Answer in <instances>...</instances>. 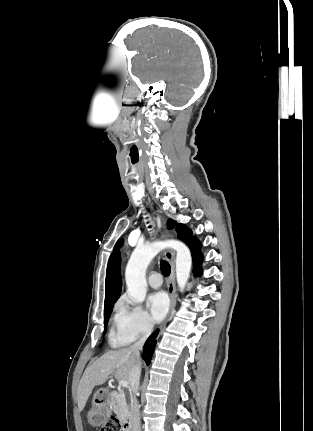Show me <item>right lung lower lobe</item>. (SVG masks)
I'll return each instance as SVG.
<instances>
[{
    "instance_id": "right-lung-lower-lobe-1",
    "label": "right lung lower lobe",
    "mask_w": 313,
    "mask_h": 431,
    "mask_svg": "<svg viewBox=\"0 0 313 431\" xmlns=\"http://www.w3.org/2000/svg\"><path fill=\"white\" fill-rule=\"evenodd\" d=\"M159 329L155 330L150 337L147 339L145 345H144V349H143V354H142V359L146 362L147 365L150 364L151 359H152V355L155 349V344H156V337L158 335Z\"/></svg>"
}]
</instances>
